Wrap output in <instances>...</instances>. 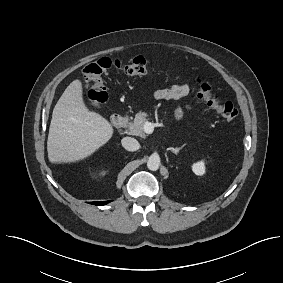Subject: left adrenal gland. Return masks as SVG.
<instances>
[{
  "instance_id": "obj_1",
  "label": "left adrenal gland",
  "mask_w": 283,
  "mask_h": 283,
  "mask_svg": "<svg viewBox=\"0 0 283 283\" xmlns=\"http://www.w3.org/2000/svg\"><path fill=\"white\" fill-rule=\"evenodd\" d=\"M184 146H185V144H183L181 147H178V148H170V150L174 154L178 155L179 151L182 150Z\"/></svg>"
}]
</instances>
